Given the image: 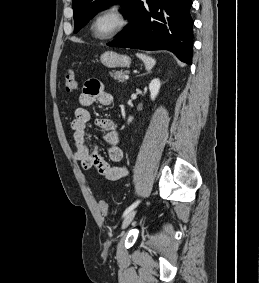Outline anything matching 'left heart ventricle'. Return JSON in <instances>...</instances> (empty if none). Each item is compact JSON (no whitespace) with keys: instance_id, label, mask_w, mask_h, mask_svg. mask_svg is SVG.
I'll use <instances>...</instances> for the list:
<instances>
[{"instance_id":"b2bd125f","label":"left heart ventricle","mask_w":259,"mask_h":283,"mask_svg":"<svg viewBox=\"0 0 259 283\" xmlns=\"http://www.w3.org/2000/svg\"><path fill=\"white\" fill-rule=\"evenodd\" d=\"M117 25V19L113 14H107L101 17L94 26V32L97 35L108 34Z\"/></svg>"}]
</instances>
